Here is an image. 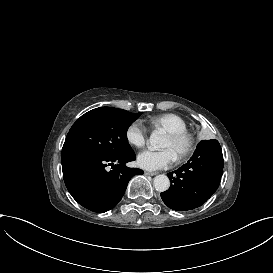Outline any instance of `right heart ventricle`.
<instances>
[{"label": "right heart ventricle", "mask_w": 273, "mask_h": 273, "mask_svg": "<svg viewBox=\"0 0 273 273\" xmlns=\"http://www.w3.org/2000/svg\"><path fill=\"white\" fill-rule=\"evenodd\" d=\"M140 120L139 123L143 124ZM147 123L154 128H162L166 132L184 131L188 129L187 121L179 114L165 113L149 118Z\"/></svg>", "instance_id": "e07e8e85"}]
</instances>
